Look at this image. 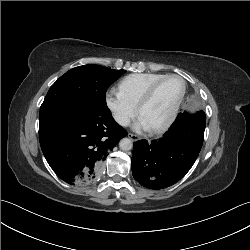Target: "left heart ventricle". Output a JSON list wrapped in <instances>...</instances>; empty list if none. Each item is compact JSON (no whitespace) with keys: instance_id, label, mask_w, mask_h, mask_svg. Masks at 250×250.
Segmentation results:
<instances>
[{"instance_id":"b2bd125f","label":"left heart ventricle","mask_w":250,"mask_h":250,"mask_svg":"<svg viewBox=\"0 0 250 250\" xmlns=\"http://www.w3.org/2000/svg\"><path fill=\"white\" fill-rule=\"evenodd\" d=\"M181 90L182 83L176 78L167 79L159 85L140 115L148 128L160 125L169 117Z\"/></svg>"}]
</instances>
